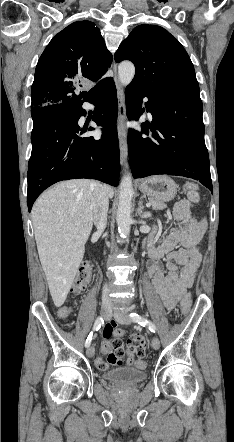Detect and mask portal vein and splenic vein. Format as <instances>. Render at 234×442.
<instances>
[{
  "label": "portal vein and splenic vein",
  "mask_w": 234,
  "mask_h": 442,
  "mask_svg": "<svg viewBox=\"0 0 234 442\" xmlns=\"http://www.w3.org/2000/svg\"><path fill=\"white\" fill-rule=\"evenodd\" d=\"M146 206L147 207L151 206V203H147ZM77 224L79 225L80 223H77Z\"/></svg>",
  "instance_id": "portal-vein-and-splenic-vein-1"
}]
</instances>
